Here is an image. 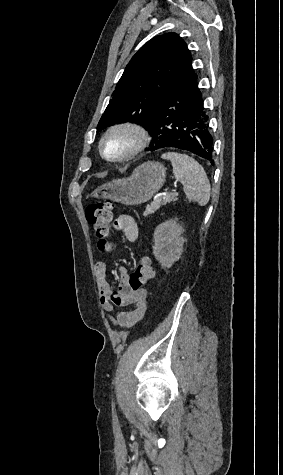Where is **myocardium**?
Wrapping results in <instances>:
<instances>
[{"instance_id":"1","label":"myocardium","mask_w":283,"mask_h":475,"mask_svg":"<svg viewBox=\"0 0 283 475\" xmlns=\"http://www.w3.org/2000/svg\"><path fill=\"white\" fill-rule=\"evenodd\" d=\"M131 133L133 141L130 148L123 154L110 157L104 152L105 141L118 133ZM150 140V133L147 127L139 122L121 121L110 126L102 135L99 141V152L103 159L109 162H122L137 157L148 145Z\"/></svg>"}]
</instances>
